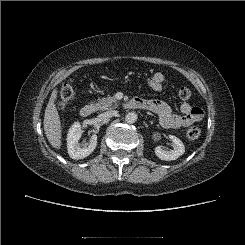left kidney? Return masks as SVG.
I'll use <instances>...</instances> for the list:
<instances>
[{
    "label": "left kidney",
    "mask_w": 245,
    "mask_h": 245,
    "mask_svg": "<svg viewBox=\"0 0 245 245\" xmlns=\"http://www.w3.org/2000/svg\"><path fill=\"white\" fill-rule=\"evenodd\" d=\"M169 138L173 142L172 150L169 151L163 150L160 146H157L154 150L156 156L161 160H166V161L176 160L185 152V146L179 138L173 135H169Z\"/></svg>",
    "instance_id": "5707ae66"
}]
</instances>
